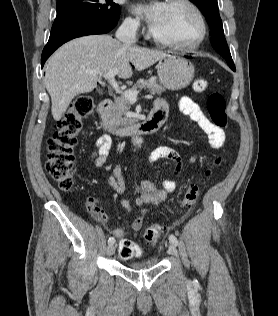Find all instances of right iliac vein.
Wrapping results in <instances>:
<instances>
[{
  "instance_id": "obj_1",
  "label": "right iliac vein",
  "mask_w": 278,
  "mask_h": 316,
  "mask_svg": "<svg viewBox=\"0 0 278 316\" xmlns=\"http://www.w3.org/2000/svg\"><path fill=\"white\" fill-rule=\"evenodd\" d=\"M114 253H115V246L113 244H109L107 247V254L110 256V255H113Z\"/></svg>"
}]
</instances>
